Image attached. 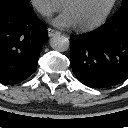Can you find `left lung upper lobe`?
Returning <instances> with one entry per match:
<instances>
[{
    "label": "left lung upper lobe",
    "instance_id": "left-lung-upper-lobe-1",
    "mask_svg": "<svg viewBox=\"0 0 128 128\" xmlns=\"http://www.w3.org/2000/svg\"><path fill=\"white\" fill-rule=\"evenodd\" d=\"M124 13H128V0H123L120 9L114 14L113 17H117Z\"/></svg>",
    "mask_w": 128,
    "mask_h": 128
}]
</instances>
